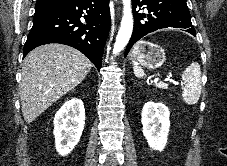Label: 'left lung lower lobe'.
<instances>
[{
    "instance_id": "0a47b994",
    "label": "left lung lower lobe",
    "mask_w": 227,
    "mask_h": 166,
    "mask_svg": "<svg viewBox=\"0 0 227 166\" xmlns=\"http://www.w3.org/2000/svg\"><path fill=\"white\" fill-rule=\"evenodd\" d=\"M138 3L139 0H132L134 29L124 53L125 57L134 43L143 36L159 29L167 27L183 28L186 32L196 36L186 0H143L140 2L139 7L146 5L150 13L147 16L135 12Z\"/></svg>"
}]
</instances>
